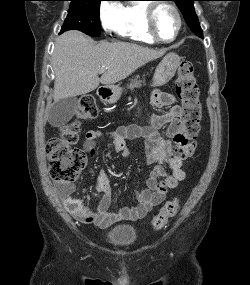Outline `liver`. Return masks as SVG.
<instances>
[{
	"mask_svg": "<svg viewBox=\"0 0 250 285\" xmlns=\"http://www.w3.org/2000/svg\"><path fill=\"white\" fill-rule=\"evenodd\" d=\"M165 50H154L128 42H100L72 30L57 38L52 57L55 74L54 102L85 95L99 83L113 87L146 63L160 58ZM107 68L101 78L99 70Z\"/></svg>",
	"mask_w": 250,
	"mask_h": 285,
	"instance_id": "liver-1",
	"label": "liver"
}]
</instances>
